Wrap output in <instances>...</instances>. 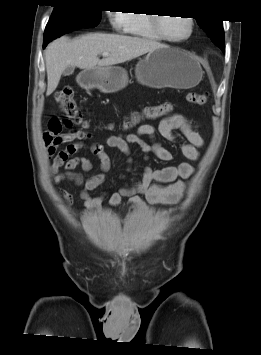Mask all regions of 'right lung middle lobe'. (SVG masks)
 Here are the masks:
<instances>
[{
	"instance_id": "dd1d6c3e",
	"label": "right lung middle lobe",
	"mask_w": 261,
	"mask_h": 355,
	"mask_svg": "<svg viewBox=\"0 0 261 355\" xmlns=\"http://www.w3.org/2000/svg\"><path fill=\"white\" fill-rule=\"evenodd\" d=\"M101 9L89 0H68L55 5L46 25L45 33L66 27L90 28L99 24Z\"/></svg>"
}]
</instances>
